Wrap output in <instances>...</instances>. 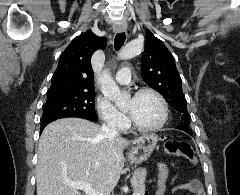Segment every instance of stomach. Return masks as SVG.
Wrapping results in <instances>:
<instances>
[{
    "instance_id": "1",
    "label": "stomach",
    "mask_w": 240,
    "mask_h": 195,
    "mask_svg": "<svg viewBox=\"0 0 240 195\" xmlns=\"http://www.w3.org/2000/svg\"><path fill=\"white\" fill-rule=\"evenodd\" d=\"M157 141L158 135L156 133H144V135H141L139 143L130 147L128 151L130 163H142V161H146L152 151H154Z\"/></svg>"
}]
</instances>
